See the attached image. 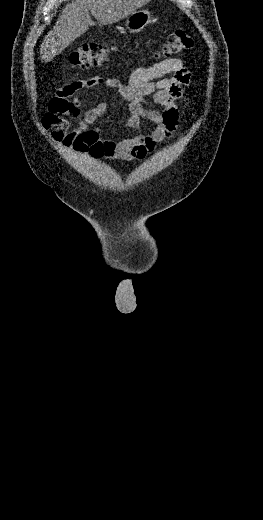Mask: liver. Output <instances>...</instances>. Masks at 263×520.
I'll return each instance as SVG.
<instances>
[{"label":"liver","instance_id":"liver-1","mask_svg":"<svg viewBox=\"0 0 263 520\" xmlns=\"http://www.w3.org/2000/svg\"><path fill=\"white\" fill-rule=\"evenodd\" d=\"M151 0H72L61 11L53 30L45 37L40 57L44 62L53 60L75 39L95 25L90 13L101 24L118 22L149 3Z\"/></svg>","mask_w":263,"mask_h":520}]
</instances>
